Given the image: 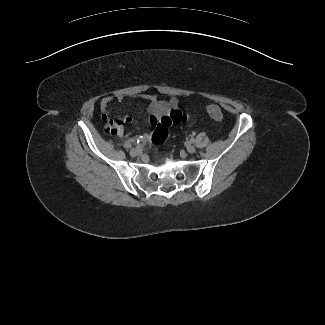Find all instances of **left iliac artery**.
Masks as SVG:
<instances>
[{
    "label": "left iliac artery",
    "instance_id": "1",
    "mask_svg": "<svg viewBox=\"0 0 325 325\" xmlns=\"http://www.w3.org/2000/svg\"><path fill=\"white\" fill-rule=\"evenodd\" d=\"M190 142H191V143H194V142H195V139H194V138H191V139H190Z\"/></svg>",
    "mask_w": 325,
    "mask_h": 325
}]
</instances>
